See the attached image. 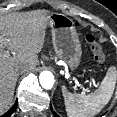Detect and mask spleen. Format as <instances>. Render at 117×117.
I'll return each mask as SVG.
<instances>
[{
	"instance_id": "3e777b00",
	"label": "spleen",
	"mask_w": 117,
	"mask_h": 117,
	"mask_svg": "<svg viewBox=\"0 0 117 117\" xmlns=\"http://www.w3.org/2000/svg\"><path fill=\"white\" fill-rule=\"evenodd\" d=\"M117 79L115 67H110L99 89L88 95L72 94L62 90L68 117H93L110 101Z\"/></svg>"
}]
</instances>
